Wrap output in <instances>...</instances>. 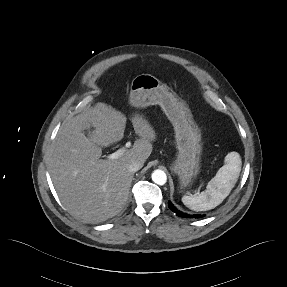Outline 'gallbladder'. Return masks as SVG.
<instances>
[{
	"label": "gallbladder",
	"mask_w": 287,
	"mask_h": 287,
	"mask_svg": "<svg viewBox=\"0 0 287 287\" xmlns=\"http://www.w3.org/2000/svg\"><path fill=\"white\" fill-rule=\"evenodd\" d=\"M84 132L91 133V126H86Z\"/></svg>",
	"instance_id": "bac80fb5"
}]
</instances>
